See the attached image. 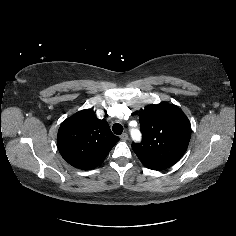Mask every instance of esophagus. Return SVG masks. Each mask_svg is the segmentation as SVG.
Wrapping results in <instances>:
<instances>
[{"mask_svg": "<svg viewBox=\"0 0 236 236\" xmlns=\"http://www.w3.org/2000/svg\"><path fill=\"white\" fill-rule=\"evenodd\" d=\"M120 139H121L122 141L128 140V134H127V133H123L122 135H120Z\"/></svg>", "mask_w": 236, "mask_h": 236, "instance_id": "obj_1", "label": "esophagus"}]
</instances>
